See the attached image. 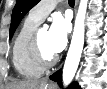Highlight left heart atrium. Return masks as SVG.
Segmentation results:
<instances>
[{"instance_id": "left-heart-atrium-1", "label": "left heart atrium", "mask_w": 107, "mask_h": 89, "mask_svg": "<svg viewBox=\"0 0 107 89\" xmlns=\"http://www.w3.org/2000/svg\"><path fill=\"white\" fill-rule=\"evenodd\" d=\"M69 32V20L61 14L55 15L49 29V47L54 54L66 47Z\"/></svg>"}]
</instances>
